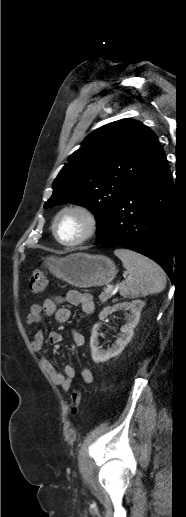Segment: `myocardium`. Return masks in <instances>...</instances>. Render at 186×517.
Masks as SVG:
<instances>
[{"mask_svg": "<svg viewBox=\"0 0 186 517\" xmlns=\"http://www.w3.org/2000/svg\"><path fill=\"white\" fill-rule=\"evenodd\" d=\"M66 213L79 214L85 222L84 232L82 233L81 236H79L74 241L61 240L56 231V226H57L58 220L60 219V217L62 215L66 214ZM97 227H98V220H97L95 213L89 207H87L83 204L73 203V204L64 206L56 213V215L54 216L53 221H52L51 230H52V234H53L55 240L59 244L66 246V247H75V246L81 245L82 243L89 240L95 234Z\"/></svg>", "mask_w": 186, "mask_h": 517, "instance_id": "obj_1", "label": "myocardium"}]
</instances>
